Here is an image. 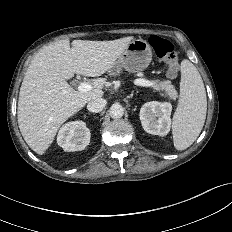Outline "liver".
<instances>
[{
	"mask_svg": "<svg viewBox=\"0 0 232 232\" xmlns=\"http://www.w3.org/2000/svg\"><path fill=\"white\" fill-rule=\"evenodd\" d=\"M132 36L110 41L59 40L41 49L32 59L18 100V125L29 147L45 153L59 127L89 101L103 96L104 78L93 79L92 90H74V74L98 77L108 72Z\"/></svg>",
	"mask_w": 232,
	"mask_h": 232,
	"instance_id": "6515ba94",
	"label": "liver"
}]
</instances>
